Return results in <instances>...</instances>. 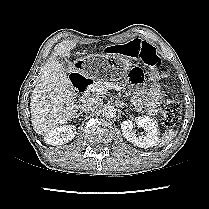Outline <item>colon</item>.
Here are the masks:
<instances>
[{"label":"colon","mask_w":209,"mask_h":209,"mask_svg":"<svg viewBox=\"0 0 209 209\" xmlns=\"http://www.w3.org/2000/svg\"><path fill=\"white\" fill-rule=\"evenodd\" d=\"M107 54L119 53L129 58H138L144 64L156 68L160 63V58L156 48L148 41L135 39L124 45L113 44L105 47ZM161 72H154V77H163ZM181 117V105L178 100L170 98L166 101L163 110V120L167 126H174Z\"/></svg>","instance_id":"obj_1"}]
</instances>
